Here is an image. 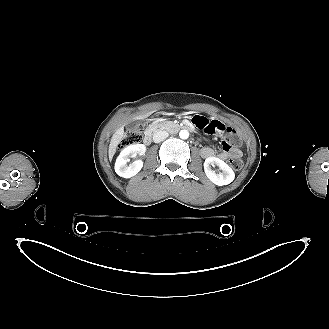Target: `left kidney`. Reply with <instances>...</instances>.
Masks as SVG:
<instances>
[{
    "instance_id": "1",
    "label": "left kidney",
    "mask_w": 329,
    "mask_h": 329,
    "mask_svg": "<svg viewBox=\"0 0 329 329\" xmlns=\"http://www.w3.org/2000/svg\"><path fill=\"white\" fill-rule=\"evenodd\" d=\"M217 165L222 172L216 173L211 166ZM204 171L206 176L216 185L223 186L230 184L234 178V171L224 161L217 157H209L204 162Z\"/></svg>"
}]
</instances>
